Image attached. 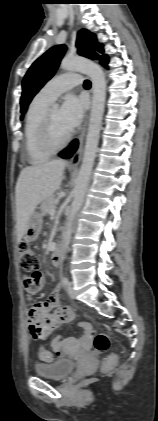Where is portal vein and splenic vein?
I'll return each mask as SVG.
<instances>
[{"label": "portal vein and splenic vein", "mask_w": 158, "mask_h": 421, "mask_svg": "<svg viewBox=\"0 0 158 421\" xmlns=\"http://www.w3.org/2000/svg\"><path fill=\"white\" fill-rule=\"evenodd\" d=\"M55 213H56L55 209L50 210V215H55Z\"/></svg>", "instance_id": "1"}]
</instances>
